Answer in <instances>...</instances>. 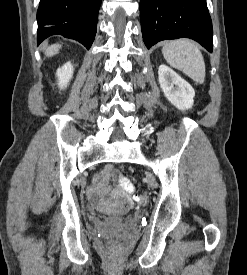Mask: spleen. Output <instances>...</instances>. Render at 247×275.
I'll list each match as a JSON object with an SVG mask.
<instances>
[{"label":"spleen","instance_id":"1","mask_svg":"<svg viewBox=\"0 0 247 275\" xmlns=\"http://www.w3.org/2000/svg\"><path fill=\"white\" fill-rule=\"evenodd\" d=\"M162 53L172 67L181 70L195 82L205 80V63L198 46L187 39H177L166 43Z\"/></svg>","mask_w":247,"mask_h":275}]
</instances>
